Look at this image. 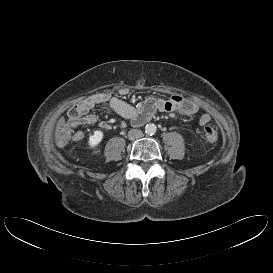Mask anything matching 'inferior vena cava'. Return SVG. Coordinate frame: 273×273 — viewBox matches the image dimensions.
Masks as SVG:
<instances>
[{
    "mask_svg": "<svg viewBox=\"0 0 273 273\" xmlns=\"http://www.w3.org/2000/svg\"><path fill=\"white\" fill-rule=\"evenodd\" d=\"M143 136V133L141 130L139 129H131L129 132H128V138L130 140H136V139H139Z\"/></svg>",
    "mask_w": 273,
    "mask_h": 273,
    "instance_id": "1",
    "label": "inferior vena cava"
}]
</instances>
